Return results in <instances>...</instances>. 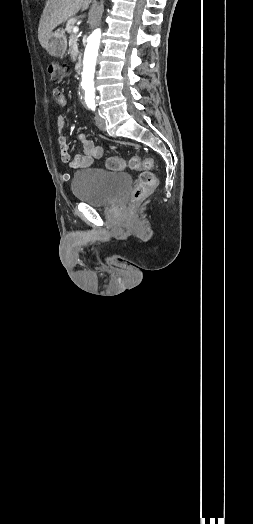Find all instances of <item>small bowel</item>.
Here are the masks:
<instances>
[{
	"label": "small bowel",
	"instance_id": "obj_1",
	"mask_svg": "<svg viewBox=\"0 0 253 524\" xmlns=\"http://www.w3.org/2000/svg\"><path fill=\"white\" fill-rule=\"evenodd\" d=\"M53 96L61 108L67 106V99L60 90L55 89ZM64 128L65 118L59 116L56 121V130L59 135L58 143L60 146V157L62 162L68 164L73 169H84L89 167L95 159H99L103 156V148L96 145L86 134L80 133L78 135V140L82 144V153L72 157L67 140L63 135Z\"/></svg>",
	"mask_w": 253,
	"mask_h": 524
}]
</instances>
